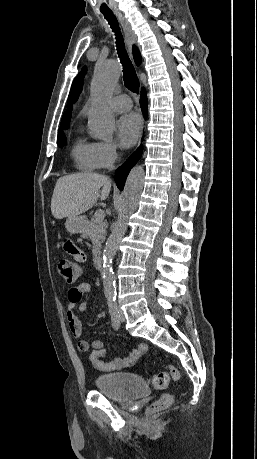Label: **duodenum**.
<instances>
[{
    "label": "duodenum",
    "instance_id": "obj_1",
    "mask_svg": "<svg viewBox=\"0 0 257 459\" xmlns=\"http://www.w3.org/2000/svg\"><path fill=\"white\" fill-rule=\"evenodd\" d=\"M94 263H95L96 269H101L102 268L103 259H102V256L100 254L95 255Z\"/></svg>",
    "mask_w": 257,
    "mask_h": 459
}]
</instances>
